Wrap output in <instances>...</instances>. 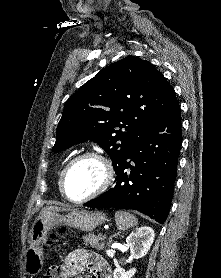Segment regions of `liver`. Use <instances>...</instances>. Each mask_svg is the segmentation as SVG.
<instances>
[{
  "instance_id": "6515ba94",
  "label": "liver",
  "mask_w": 221,
  "mask_h": 278,
  "mask_svg": "<svg viewBox=\"0 0 221 278\" xmlns=\"http://www.w3.org/2000/svg\"><path fill=\"white\" fill-rule=\"evenodd\" d=\"M64 209H61L60 207H54V206H49V207H44L41 211V214L43 213H56L58 211H63Z\"/></svg>"
}]
</instances>
